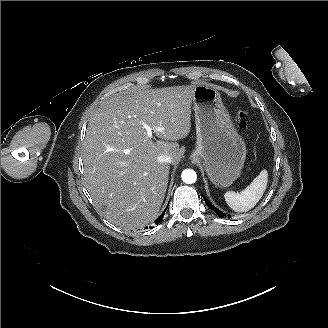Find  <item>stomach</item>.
Instances as JSON below:
<instances>
[{
    "label": "stomach",
    "mask_w": 328,
    "mask_h": 328,
    "mask_svg": "<svg viewBox=\"0 0 328 328\" xmlns=\"http://www.w3.org/2000/svg\"><path fill=\"white\" fill-rule=\"evenodd\" d=\"M193 110L196 142L192 155L202 161L216 187H229L240 178L245 165V139L213 86H196Z\"/></svg>",
    "instance_id": "obj_1"
}]
</instances>
